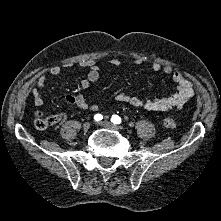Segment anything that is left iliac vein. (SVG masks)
Returning <instances> with one entry per match:
<instances>
[{
    "instance_id": "left-iliac-vein-1",
    "label": "left iliac vein",
    "mask_w": 221,
    "mask_h": 221,
    "mask_svg": "<svg viewBox=\"0 0 221 221\" xmlns=\"http://www.w3.org/2000/svg\"><path fill=\"white\" fill-rule=\"evenodd\" d=\"M99 125L102 126L103 128L109 129V130H114V131L120 130V128L117 125L107 122V121L99 122Z\"/></svg>"
}]
</instances>
